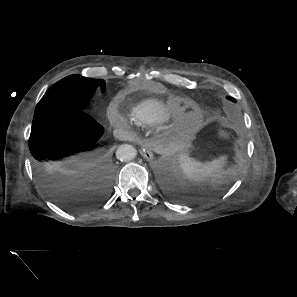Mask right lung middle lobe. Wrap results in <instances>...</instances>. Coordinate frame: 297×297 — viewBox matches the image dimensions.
Wrapping results in <instances>:
<instances>
[{
    "instance_id": "dd1d6c3e",
    "label": "right lung middle lobe",
    "mask_w": 297,
    "mask_h": 297,
    "mask_svg": "<svg viewBox=\"0 0 297 297\" xmlns=\"http://www.w3.org/2000/svg\"><path fill=\"white\" fill-rule=\"evenodd\" d=\"M105 89V81L82 77L68 76L54 84L39 101L33 118L38 124L50 116L68 110L86 112L94 90L98 86Z\"/></svg>"
}]
</instances>
